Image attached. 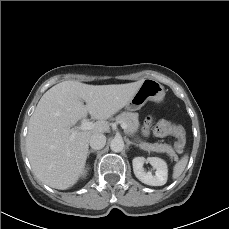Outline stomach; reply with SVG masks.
I'll return each mask as SVG.
<instances>
[{"mask_svg": "<svg viewBox=\"0 0 229 229\" xmlns=\"http://www.w3.org/2000/svg\"><path fill=\"white\" fill-rule=\"evenodd\" d=\"M165 96L164 87L153 79H145L140 88L126 105L131 111L139 110L147 101L161 102Z\"/></svg>", "mask_w": 229, "mask_h": 229, "instance_id": "obj_1", "label": "stomach"}]
</instances>
